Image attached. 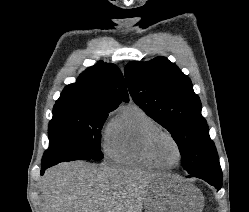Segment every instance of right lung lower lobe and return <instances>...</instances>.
Returning <instances> with one entry per match:
<instances>
[{
  "mask_svg": "<svg viewBox=\"0 0 249 212\" xmlns=\"http://www.w3.org/2000/svg\"><path fill=\"white\" fill-rule=\"evenodd\" d=\"M53 165H55V164H54V163H43V164H42V168H41V174H43L44 171H45L48 167H51V166H53Z\"/></svg>",
  "mask_w": 249,
  "mask_h": 212,
  "instance_id": "obj_1",
  "label": "right lung lower lobe"
}]
</instances>
